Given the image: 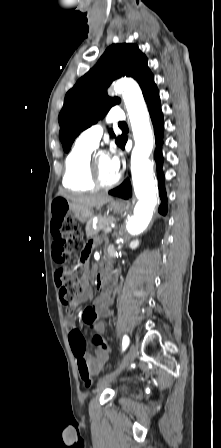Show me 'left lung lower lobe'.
<instances>
[{"label":"left lung lower lobe","instance_id":"obj_1","mask_svg":"<svg viewBox=\"0 0 221 448\" xmlns=\"http://www.w3.org/2000/svg\"><path fill=\"white\" fill-rule=\"evenodd\" d=\"M145 101L148 105V110L151 116V120L154 126V133L156 137V150L154 154V158L157 163V174H158V181H159V194L161 198V205L159 206V212L163 215L167 213V197H166V191L164 188V174L161 170L163 157H162V137H163V130H164V123H163V116L161 111V104L159 99V91L157 87H153L151 90H149L144 95ZM127 139L123 138V141L120 145L121 148H124L125 143ZM110 195L121 197L124 199H128L131 197V184L130 181L127 179L125 180L119 187L109 191Z\"/></svg>","mask_w":221,"mask_h":448}]
</instances>
